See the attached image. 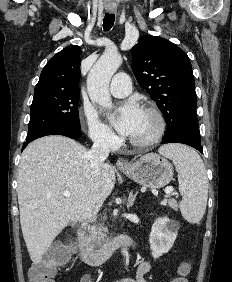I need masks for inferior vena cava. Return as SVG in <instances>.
Segmentation results:
<instances>
[{"mask_svg":"<svg viewBox=\"0 0 232 282\" xmlns=\"http://www.w3.org/2000/svg\"><path fill=\"white\" fill-rule=\"evenodd\" d=\"M110 153V137L107 134L101 133L94 138V143L91 150L88 152V160L93 176L96 178V183L100 175V171L104 161Z\"/></svg>","mask_w":232,"mask_h":282,"instance_id":"inferior-vena-cava-1","label":"inferior vena cava"}]
</instances>
